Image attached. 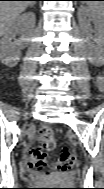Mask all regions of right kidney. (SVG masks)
<instances>
[{"mask_svg": "<svg viewBox=\"0 0 104 189\" xmlns=\"http://www.w3.org/2000/svg\"><path fill=\"white\" fill-rule=\"evenodd\" d=\"M35 24V15L31 12L24 13L15 19L9 30L0 40V60L3 64L14 67L20 60L21 49L26 46L29 38L16 36L23 32L25 28H32Z\"/></svg>", "mask_w": 104, "mask_h": 189, "instance_id": "right-kidney-1", "label": "right kidney"}]
</instances>
